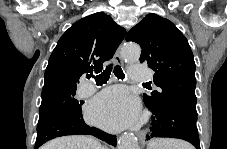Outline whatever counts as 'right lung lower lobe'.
Instances as JSON below:
<instances>
[{
    "instance_id": "right-lung-lower-lobe-1",
    "label": "right lung lower lobe",
    "mask_w": 227,
    "mask_h": 149,
    "mask_svg": "<svg viewBox=\"0 0 227 149\" xmlns=\"http://www.w3.org/2000/svg\"><path fill=\"white\" fill-rule=\"evenodd\" d=\"M93 135L108 144L116 146V136L107 134L95 127H89L82 115L62 114L47 120L39 121L34 149L45 142L65 135Z\"/></svg>"
}]
</instances>
